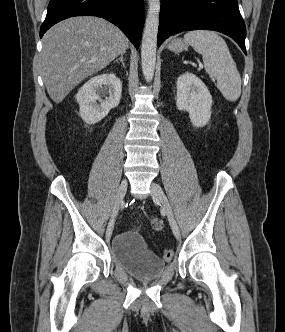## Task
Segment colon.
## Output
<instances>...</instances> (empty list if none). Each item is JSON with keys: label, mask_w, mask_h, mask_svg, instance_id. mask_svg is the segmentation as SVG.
I'll use <instances>...</instances> for the list:
<instances>
[{"label": "colon", "mask_w": 285, "mask_h": 332, "mask_svg": "<svg viewBox=\"0 0 285 332\" xmlns=\"http://www.w3.org/2000/svg\"><path fill=\"white\" fill-rule=\"evenodd\" d=\"M151 224H152V226H153V228H154L155 230H160V229L162 228V223H161V221L158 220V219H156V218H154V219L151 220ZM163 257H164V259L167 260V261L171 260L172 257H173V250H172V249H166V250L164 251V255H163Z\"/></svg>", "instance_id": "1"}]
</instances>
